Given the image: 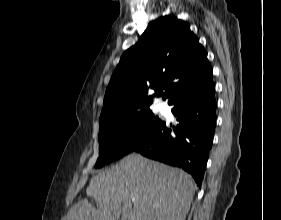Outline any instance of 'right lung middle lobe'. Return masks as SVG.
<instances>
[{"label": "right lung middle lobe", "mask_w": 281, "mask_h": 220, "mask_svg": "<svg viewBox=\"0 0 281 220\" xmlns=\"http://www.w3.org/2000/svg\"><path fill=\"white\" fill-rule=\"evenodd\" d=\"M164 124L149 108L107 122L99 131L96 168L134 151Z\"/></svg>", "instance_id": "obj_1"}]
</instances>
